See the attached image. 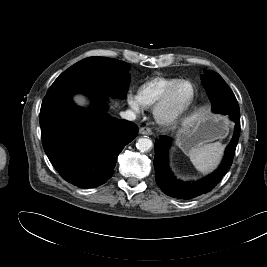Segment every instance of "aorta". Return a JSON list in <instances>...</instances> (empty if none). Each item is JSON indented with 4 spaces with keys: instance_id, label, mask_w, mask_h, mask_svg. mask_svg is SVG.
Masks as SVG:
<instances>
[{
    "instance_id": "aorta-1",
    "label": "aorta",
    "mask_w": 267,
    "mask_h": 267,
    "mask_svg": "<svg viewBox=\"0 0 267 267\" xmlns=\"http://www.w3.org/2000/svg\"><path fill=\"white\" fill-rule=\"evenodd\" d=\"M152 141L149 138H140L137 141L136 147L141 152H147L152 148Z\"/></svg>"
}]
</instances>
